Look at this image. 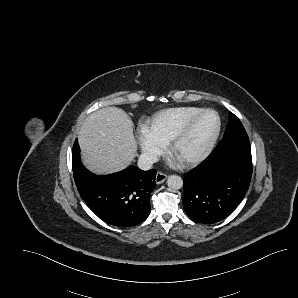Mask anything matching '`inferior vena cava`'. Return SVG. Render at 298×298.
<instances>
[{
    "instance_id": "602c4592",
    "label": "inferior vena cava",
    "mask_w": 298,
    "mask_h": 298,
    "mask_svg": "<svg viewBox=\"0 0 298 298\" xmlns=\"http://www.w3.org/2000/svg\"><path fill=\"white\" fill-rule=\"evenodd\" d=\"M159 161V157L152 152H143L137 160V167L142 171H148L153 168V165Z\"/></svg>"
}]
</instances>
